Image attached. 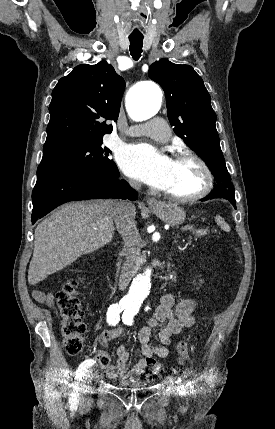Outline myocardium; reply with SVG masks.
<instances>
[{
	"instance_id": "1",
	"label": "myocardium",
	"mask_w": 275,
	"mask_h": 429,
	"mask_svg": "<svg viewBox=\"0 0 275 429\" xmlns=\"http://www.w3.org/2000/svg\"><path fill=\"white\" fill-rule=\"evenodd\" d=\"M174 160H191L197 163L203 173V185L199 191L191 195L179 196L163 191L164 196L172 201L181 203L197 201L207 196L213 188L214 179L206 161L202 157L191 151L178 152L175 155Z\"/></svg>"
}]
</instances>
